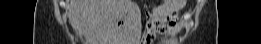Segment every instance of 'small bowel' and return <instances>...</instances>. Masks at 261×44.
<instances>
[{
  "mask_svg": "<svg viewBox=\"0 0 261 44\" xmlns=\"http://www.w3.org/2000/svg\"><path fill=\"white\" fill-rule=\"evenodd\" d=\"M181 7L162 4L154 8L153 17L148 24V36L158 33L174 34Z\"/></svg>",
  "mask_w": 261,
  "mask_h": 44,
  "instance_id": "obj_1",
  "label": "small bowel"
}]
</instances>
